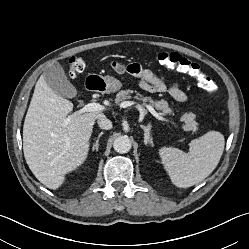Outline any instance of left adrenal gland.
<instances>
[{"label":"left adrenal gland","instance_id":"a2214340","mask_svg":"<svg viewBox=\"0 0 249 249\" xmlns=\"http://www.w3.org/2000/svg\"><path fill=\"white\" fill-rule=\"evenodd\" d=\"M140 127L144 131V143L147 145L148 142L151 140V138H150V129H151V126H150V124H148L147 126H144V125L141 124Z\"/></svg>","mask_w":249,"mask_h":249}]
</instances>
